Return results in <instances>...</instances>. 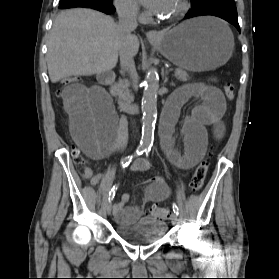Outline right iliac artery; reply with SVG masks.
Listing matches in <instances>:
<instances>
[{"instance_id":"1","label":"right iliac artery","mask_w":279,"mask_h":279,"mask_svg":"<svg viewBox=\"0 0 279 279\" xmlns=\"http://www.w3.org/2000/svg\"><path fill=\"white\" fill-rule=\"evenodd\" d=\"M145 151H146V147H145V146H139V147L137 148V150H136V152H135L134 155H129V156L125 157V158L122 160V162H121V163H122V166H123V167H127V166L130 164V162L132 161V159H133L134 156H140V155H142ZM117 188H118V186H117V185H114V186L112 187V189L110 190V192H109V198H108L109 201H112V200H113Z\"/></svg>"}]
</instances>
